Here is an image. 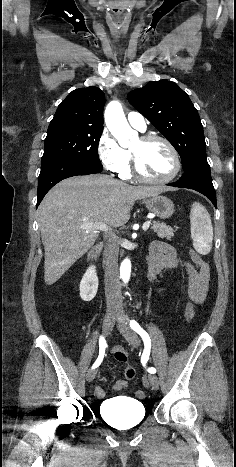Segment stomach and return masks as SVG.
<instances>
[{
	"mask_svg": "<svg viewBox=\"0 0 236 467\" xmlns=\"http://www.w3.org/2000/svg\"><path fill=\"white\" fill-rule=\"evenodd\" d=\"M146 208L161 219L169 218L174 213L173 202L165 196H153L144 200Z\"/></svg>",
	"mask_w": 236,
	"mask_h": 467,
	"instance_id": "stomach-1",
	"label": "stomach"
}]
</instances>
